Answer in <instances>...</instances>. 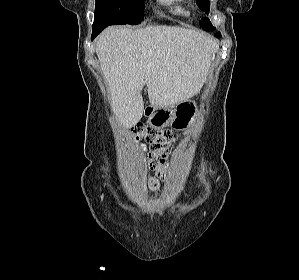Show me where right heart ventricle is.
<instances>
[{
    "label": "right heart ventricle",
    "instance_id": "1",
    "mask_svg": "<svg viewBox=\"0 0 299 280\" xmlns=\"http://www.w3.org/2000/svg\"><path fill=\"white\" fill-rule=\"evenodd\" d=\"M160 2L167 6L174 14H188L182 0H160Z\"/></svg>",
    "mask_w": 299,
    "mask_h": 280
}]
</instances>
